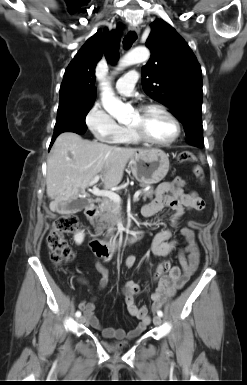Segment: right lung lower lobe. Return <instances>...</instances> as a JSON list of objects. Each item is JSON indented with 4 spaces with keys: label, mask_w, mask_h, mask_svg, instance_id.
I'll use <instances>...</instances> for the list:
<instances>
[{
    "label": "right lung lower lobe",
    "mask_w": 247,
    "mask_h": 385,
    "mask_svg": "<svg viewBox=\"0 0 247 385\" xmlns=\"http://www.w3.org/2000/svg\"><path fill=\"white\" fill-rule=\"evenodd\" d=\"M73 132H75V133H77V134H83L85 131H73ZM57 136H58V135H53V138H52V140H51L50 146H52V144H53V142L55 141V139H56Z\"/></svg>",
    "instance_id": "98d812e1"
}]
</instances>
